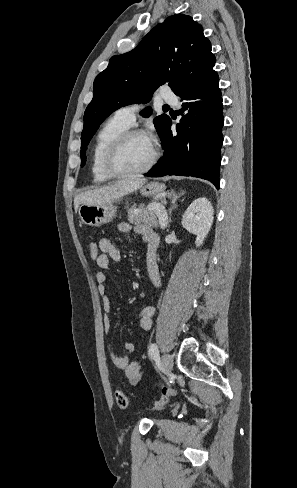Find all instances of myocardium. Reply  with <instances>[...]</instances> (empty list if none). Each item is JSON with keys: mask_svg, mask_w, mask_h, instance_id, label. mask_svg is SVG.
Returning a JSON list of instances; mask_svg holds the SVG:
<instances>
[{"mask_svg": "<svg viewBox=\"0 0 297 488\" xmlns=\"http://www.w3.org/2000/svg\"><path fill=\"white\" fill-rule=\"evenodd\" d=\"M147 136V134L140 129H128L125 132H123L121 135H119L109 146L107 149V152L104 157V168L105 171L107 172L108 175H110L112 178H127V177H133L139 174H143L148 172L158 161L159 159V150L154 145V151L153 155L150 159V161L142 168L132 170V171H120L116 167V158L123 148V146L129 141L134 136Z\"/></svg>", "mask_w": 297, "mask_h": 488, "instance_id": "1", "label": "myocardium"}]
</instances>
